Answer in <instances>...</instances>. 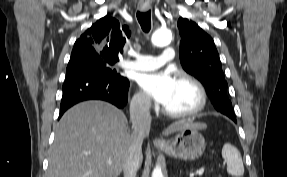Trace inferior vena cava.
Listing matches in <instances>:
<instances>
[{
    "label": "inferior vena cava",
    "instance_id": "inferior-vena-cava-1",
    "mask_svg": "<svg viewBox=\"0 0 287 177\" xmlns=\"http://www.w3.org/2000/svg\"><path fill=\"white\" fill-rule=\"evenodd\" d=\"M150 107L149 98H139L130 105L133 140L123 166L124 177H136L142 161V142L149 135L151 126Z\"/></svg>",
    "mask_w": 287,
    "mask_h": 177
}]
</instances>
